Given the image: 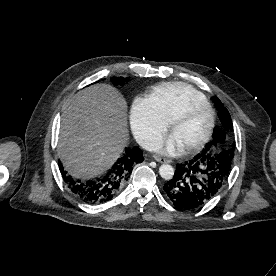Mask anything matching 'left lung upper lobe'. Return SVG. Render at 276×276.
<instances>
[{
	"label": "left lung upper lobe",
	"instance_id": "5c2ea615",
	"mask_svg": "<svg viewBox=\"0 0 276 276\" xmlns=\"http://www.w3.org/2000/svg\"><path fill=\"white\" fill-rule=\"evenodd\" d=\"M213 101L218 110V116H219V119L221 120V123L224 129L232 130L233 125H232L231 116L228 110L223 106L222 102L217 97H214ZM214 132H215V138H214L215 142H213V144L216 146L218 142L220 143L224 142L226 136L220 128H215ZM210 147H211V144L207 145L206 148L203 150L202 154L206 155L208 158L211 159V161L215 165V170H219V173L223 176L222 185H224L225 182L227 181L229 171L231 168L235 145H233L227 150L221 151L219 154H216L214 156H211V154L208 153V151L210 150Z\"/></svg>",
	"mask_w": 276,
	"mask_h": 276
}]
</instances>
